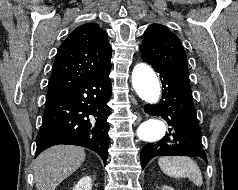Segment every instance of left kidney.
Segmentation results:
<instances>
[{"label": "left kidney", "instance_id": "5707ae66", "mask_svg": "<svg viewBox=\"0 0 238 190\" xmlns=\"http://www.w3.org/2000/svg\"><path fill=\"white\" fill-rule=\"evenodd\" d=\"M162 190H174L173 188L171 187H168V186H163V189Z\"/></svg>", "mask_w": 238, "mask_h": 190}]
</instances>
